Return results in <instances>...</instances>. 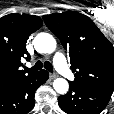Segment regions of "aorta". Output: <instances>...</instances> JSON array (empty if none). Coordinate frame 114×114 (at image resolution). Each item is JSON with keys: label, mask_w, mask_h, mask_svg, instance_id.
I'll use <instances>...</instances> for the list:
<instances>
[{"label": "aorta", "mask_w": 114, "mask_h": 114, "mask_svg": "<svg viewBox=\"0 0 114 114\" xmlns=\"http://www.w3.org/2000/svg\"><path fill=\"white\" fill-rule=\"evenodd\" d=\"M34 47L39 53H52L56 49L55 38L48 33H40L34 38ZM54 90L59 94L68 92L69 84L64 78H57L53 82Z\"/></svg>", "instance_id": "obj_1"}]
</instances>
